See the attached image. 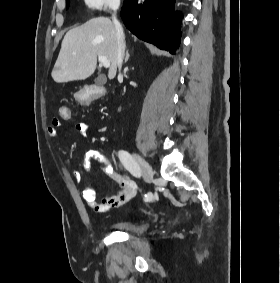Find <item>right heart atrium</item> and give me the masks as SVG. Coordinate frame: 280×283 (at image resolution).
<instances>
[{
  "label": "right heart atrium",
  "instance_id": "right-heart-atrium-1",
  "mask_svg": "<svg viewBox=\"0 0 280 283\" xmlns=\"http://www.w3.org/2000/svg\"><path fill=\"white\" fill-rule=\"evenodd\" d=\"M87 9L93 11L116 10L120 0H83Z\"/></svg>",
  "mask_w": 280,
  "mask_h": 283
}]
</instances>
